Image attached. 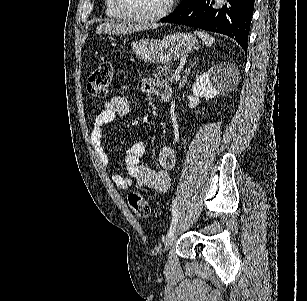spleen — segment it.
<instances>
[{"label": "spleen", "instance_id": "1", "mask_svg": "<svg viewBox=\"0 0 307 301\" xmlns=\"http://www.w3.org/2000/svg\"><path fill=\"white\" fill-rule=\"evenodd\" d=\"M195 32L197 36H199V38L205 42L206 46H212L215 38H213L211 34H208V32H202V30H195Z\"/></svg>", "mask_w": 307, "mask_h": 301}]
</instances>
